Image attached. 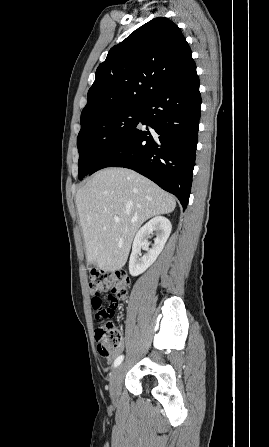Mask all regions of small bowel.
Returning a JSON list of instances; mask_svg holds the SVG:
<instances>
[{
    "instance_id": "small-bowel-1",
    "label": "small bowel",
    "mask_w": 269,
    "mask_h": 447,
    "mask_svg": "<svg viewBox=\"0 0 269 447\" xmlns=\"http://www.w3.org/2000/svg\"><path fill=\"white\" fill-rule=\"evenodd\" d=\"M94 301V300H93ZM123 349V346H121L116 352H114L113 354H111L108 358H107V362L108 363H112L114 361V359L121 353Z\"/></svg>"
}]
</instances>
